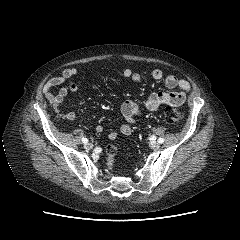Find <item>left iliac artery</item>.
<instances>
[{"label": "left iliac artery", "mask_w": 240, "mask_h": 240, "mask_svg": "<svg viewBox=\"0 0 240 240\" xmlns=\"http://www.w3.org/2000/svg\"><path fill=\"white\" fill-rule=\"evenodd\" d=\"M158 142L162 144L164 142V139L163 138H159Z\"/></svg>", "instance_id": "left-iliac-artery-1"}]
</instances>
